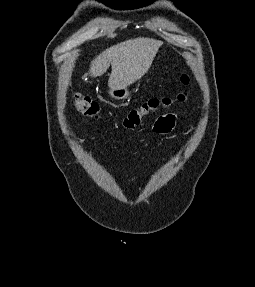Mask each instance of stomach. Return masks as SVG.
Here are the masks:
<instances>
[{"label":"stomach","instance_id":"stomach-1","mask_svg":"<svg viewBox=\"0 0 255 287\" xmlns=\"http://www.w3.org/2000/svg\"><path fill=\"white\" fill-rule=\"evenodd\" d=\"M109 96L114 98V100H126V98H129L130 96L128 86H121V88H110Z\"/></svg>","mask_w":255,"mask_h":287}]
</instances>
